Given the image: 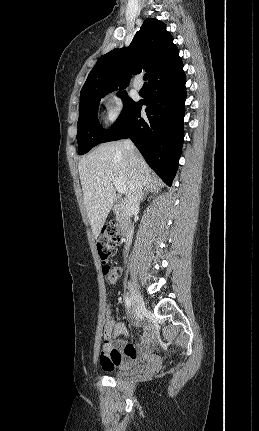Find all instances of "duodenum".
Segmentation results:
<instances>
[{"label":"duodenum","mask_w":259,"mask_h":431,"mask_svg":"<svg viewBox=\"0 0 259 431\" xmlns=\"http://www.w3.org/2000/svg\"><path fill=\"white\" fill-rule=\"evenodd\" d=\"M115 211L118 218V223L121 230L122 235V241L125 240V237L127 236L131 224V218L130 214L127 210V208L123 204H117L115 206Z\"/></svg>","instance_id":"410a0bca"}]
</instances>
